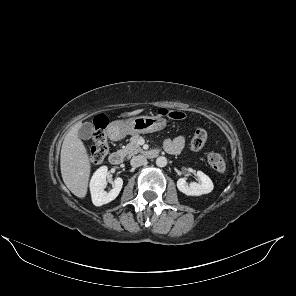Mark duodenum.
I'll return each instance as SVG.
<instances>
[{
  "mask_svg": "<svg viewBox=\"0 0 296 296\" xmlns=\"http://www.w3.org/2000/svg\"><path fill=\"white\" fill-rule=\"evenodd\" d=\"M109 136L111 137V139L113 140H117L120 138L121 136V131L116 129V128H110L109 130ZM157 155V151H150L148 152V156L149 157H156ZM109 161L112 165H120L123 161V154L120 151H115L113 153L110 154L109 156Z\"/></svg>",
  "mask_w": 296,
  "mask_h": 296,
  "instance_id": "obj_1",
  "label": "duodenum"
}]
</instances>
